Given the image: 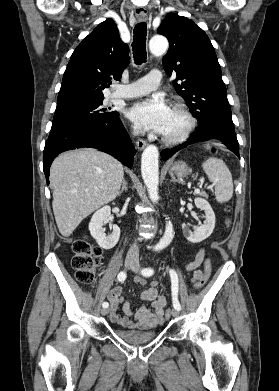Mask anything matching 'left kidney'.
I'll return each mask as SVG.
<instances>
[{
    "mask_svg": "<svg viewBox=\"0 0 279 391\" xmlns=\"http://www.w3.org/2000/svg\"><path fill=\"white\" fill-rule=\"evenodd\" d=\"M194 202L197 208L204 210L205 212L204 224L196 228V230L192 232L187 228L186 224L183 223L182 229L183 234L188 241L192 243H199L212 234L215 228V214L210 204L205 199L195 198Z\"/></svg>",
    "mask_w": 279,
    "mask_h": 391,
    "instance_id": "left-kidney-1",
    "label": "left kidney"
}]
</instances>
